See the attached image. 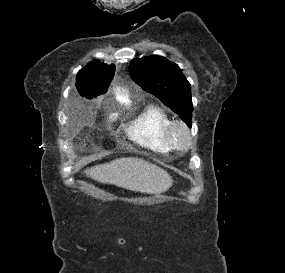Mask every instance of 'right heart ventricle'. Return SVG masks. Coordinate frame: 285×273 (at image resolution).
Returning a JSON list of instances; mask_svg holds the SVG:
<instances>
[{
    "instance_id": "e07e8e85",
    "label": "right heart ventricle",
    "mask_w": 285,
    "mask_h": 273,
    "mask_svg": "<svg viewBox=\"0 0 285 273\" xmlns=\"http://www.w3.org/2000/svg\"><path fill=\"white\" fill-rule=\"evenodd\" d=\"M173 122L171 116L161 107L147 106L124 130L134 144L160 154L174 149L167 140V129Z\"/></svg>"
}]
</instances>
